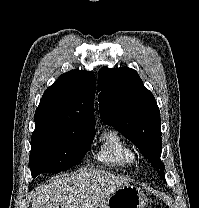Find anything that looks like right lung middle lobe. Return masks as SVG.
Returning <instances> with one entry per match:
<instances>
[{"label": "right lung middle lobe", "instance_id": "obj_1", "mask_svg": "<svg viewBox=\"0 0 199 208\" xmlns=\"http://www.w3.org/2000/svg\"><path fill=\"white\" fill-rule=\"evenodd\" d=\"M94 135L93 126L35 123L29 158L32 176L68 170L85 156Z\"/></svg>", "mask_w": 199, "mask_h": 208}]
</instances>
